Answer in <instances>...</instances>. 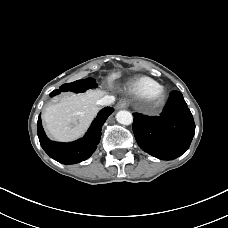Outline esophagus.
Wrapping results in <instances>:
<instances>
[{
    "label": "esophagus",
    "instance_id": "1",
    "mask_svg": "<svg viewBox=\"0 0 228 228\" xmlns=\"http://www.w3.org/2000/svg\"><path fill=\"white\" fill-rule=\"evenodd\" d=\"M127 107H128V102L126 100H121L117 104V108L118 109H124V108H127Z\"/></svg>",
    "mask_w": 228,
    "mask_h": 228
}]
</instances>
